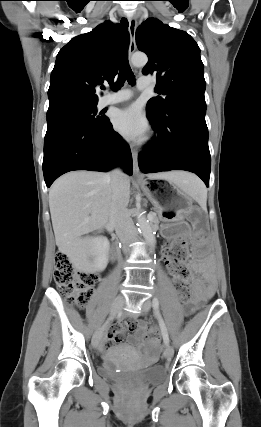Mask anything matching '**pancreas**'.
Returning <instances> with one entry per match:
<instances>
[{
  "label": "pancreas",
  "mask_w": 261,
  "mask_h": 427,
  "mask_svg": "<svg viewBox=\"0 0 261 427\" xmlns=\"http://www.w3.org/2000/svg\"><path fill=\"white\" fill-rule=\"evenodd\" d=\"M152 214V216H151V221L155 224V225H157L158 223H159V218H158V216H157V213H151Z\"/></svg>",
  "instance_id": "obj_1"
}]
</instances>
